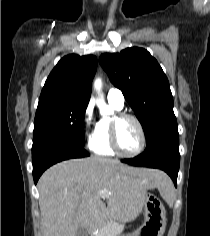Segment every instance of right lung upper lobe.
<instances>
[{
	"label": "right lung upper lobe",
	"mask_w": 210,
	"mask_h": 236,
	"mask_svg": "<svg viewBox=\"0 0 210 236\" xmlns=\"http://www.w3.org/2000/svg\"><path fill=\"white\" fill-rule=\"evenodd\" d=\"M96 69L97 58L93 55L63 57L48 76L39 103L66 100L88 105Z\"/></svg>",
	"instance_id": "1"
}]
</instances>
